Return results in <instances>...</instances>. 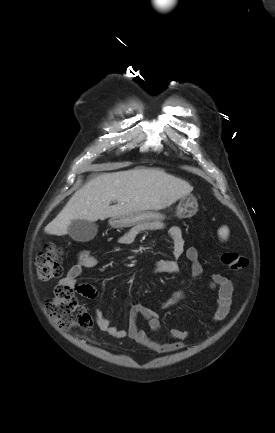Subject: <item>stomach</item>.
I'll use <instances>...</instances> for the list:
<instances>
[{"instance_id": "stomach-1", "label": "stomach", "mask_w": 275, "mask_h": 433, "mask_svg": "<svg viewBox=\"0 0 275 433\" xmlns=\"http://www.w3.org/2000/svg\"><path fill=\"white\" fill-rule=\"evenodd\" d=\"M168 204L161 207L165 208ZM160 208V209H161ZM198 210V202L192 195L183 196L176 209V216L181 219L191 218ZM165 217L158 212L142 211L130 215L112 217L109 224L113 228L130 227L136 224L148 223L155 220H163Z\"/></svg>"}]
</instances>
